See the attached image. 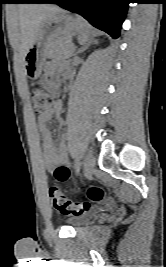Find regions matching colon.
<instances>
[{"label":"colon","mask_w":166,"mask_h":267,"mask_svg":"<svg viewBox=\"0 0 166 267\" xmlns=\"http://www.w3.org/2000/svg\"><path fill=\"white\" fill-rule=\"evenodd\" d=\"M30 95L33 107L38 113L46 111L54 104L53 94L42 87H33ZM67 176L68 173L64 170H60L56 174V178L59 181L66 179ZM87 194L94 202L102 200L104 196L103 190L95 186L89 188ZM49 196L54 208L64 215H82L90 209V204L88 202L73 201L67 198L57 185H51L49 187Z\"/></svg>","instance_id":"obj_1"}]
</instances>
